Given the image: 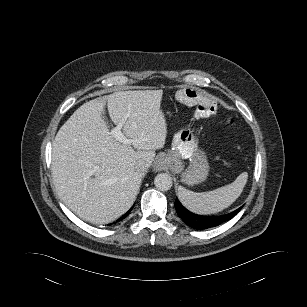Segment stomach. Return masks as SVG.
I'll return each mask as SVG.
<instances>
[{
    "label": "stomach",
    "instance_id": "0dacf381",
    "mask_svg": "<svg viewBox=\"0 0 307 307\" xmlns=\"http://www.w3.org/2000/svg\"><path fill=\"white\" fill-rule=\"evenodd\" d=\"M190 158L186 169L183 159ZM157 167H166L174 173H181V181L187 185L199 184L209 174V162L204 151L197 145L195 136L183 129L175 136L171 150L160 156Z\"/></svg>",
    "mask_w": 307,
    "mask_h": 307
}]
</instances>
